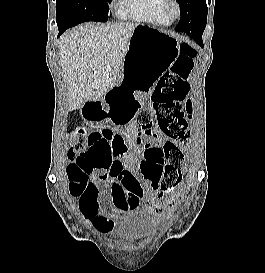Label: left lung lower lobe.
Returning a JSON list of instances; mask_svg holds the SVG:
<instances>
[{
  "instance_id": "0a47b994",
  "label": "left lung lower lobe",
  "mask_w": 265,
  "mask_h": 273,
  "mask_svg": "<svg viewBox=\"0 0 265 273\" xmlns=\"http://www.w3.org/2000/svg\"><path fill=\"white\" fill-rule=\"evenodd\" d=\"M206 0H196L190 12L181 15L175 31L188 34L198 45L203 47L202 34L205 29L204 10Z\"/></svg>"
}]
</instances>
